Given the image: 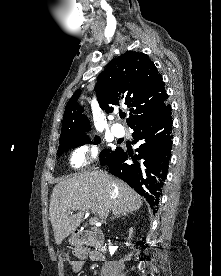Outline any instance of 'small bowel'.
<instances>
[{
  "label": "small bowel",
  "mask_w": 221,
  "mask_h": 276,
  "mask_svg": "<svg viewBox=\"0 0 221 276\" xmlns=\"http://www.w3.org/2000/svg\"><path fill=\"white\" fill-rule=\"evenodd\" d=\"M74 259L70 262V265L74 272L81 271L84 261L89 258L92 261H102V256L97 254L93 250H88L84 247H77L73 250Z\"/></svg>",
  "instance_id": "1"
}]
</instances>
